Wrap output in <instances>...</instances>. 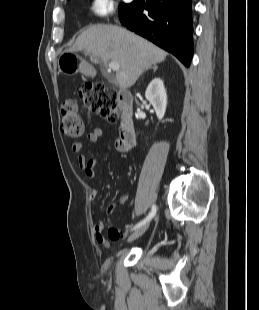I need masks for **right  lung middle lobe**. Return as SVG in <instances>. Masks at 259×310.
Masks as SVG:
<instances>
[{"mask_svg":"<svg viewBox=\"0 0 259 310\" xmlns=\"http://www.w3.org/2000/svg\"><path fill=\"white\" fill-rule=\"evenodd\" d=\"M131 4H124V3L120 4L119 15L122 14L124 11H126L131 6Z\"/></svg>","mask_w":259,"mask_h":310,"instance_id":"dd1d6c3e","label":"right lung middle lobe"}]
</instances>
